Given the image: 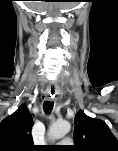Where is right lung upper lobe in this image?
I'll return each instance as SVG.
<instances>
[{"mask_svg": "<svg viewBox=\"0 0 118 151\" xmlns=\"http://www.w3.org/2000/svg\"><path fill=\"white\" fill-rule=\"evenodd\" d=\"M32 116L25 105L0 123V151H31L34 149Z\"/></svg>", "mask_w": 118, "mask_h": 151, "instance_id": "right-lung-upper-lobe-1", "label": "right lung upper lobe"}]
</instances>
